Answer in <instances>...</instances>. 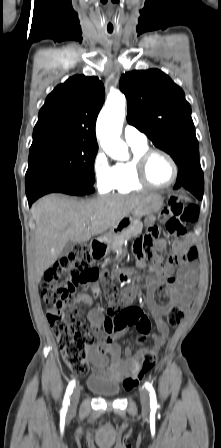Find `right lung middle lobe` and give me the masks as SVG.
I'll return each instance as SVG.
<instances>
[{"label": "right lung middle lobe", "mask_w": 221, "mask_h": 448, "mask_svg": "<svg viewBox=\"0 0 221 448\" xmlns=\"http://www.w3.org/2000/svg\"><path fill=\"white\" fill-rule=\"evenodd\" d=\"M98 144L59 142L30 148L26 179L51 176L77 185H93Z\"/></svg>", "instance_id": "right-lung-middle-lobe-1"}]
</instances>
